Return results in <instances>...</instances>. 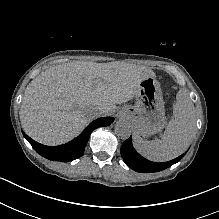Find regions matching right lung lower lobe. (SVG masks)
<instances>
[{
    "label": "right lung lower lobe",
    "instance_id": "1",
    "mask_svg": "<svg viewBox=\"0 0 219 219\" xmlns=\"http://www.w3.org/2000/svg\"><path fill=\"white\" fill-rule=\"evenodd\" d=\"M113 120L114 119L111 117L98 118L91 122L77 138L66 144L55 147L42 145L28 137L24 132L23 135L41 156L53 161L68 162L83 155L86 143L94 129L101 126H108Z\"/></svg>",
    "mask_w": 219,
    "mask_h": 219
}]
</instances>
